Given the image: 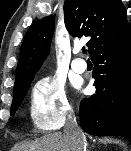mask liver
Here are the masks:
<instances>
[{
  "mask_svg": "<svg viewBox=\"0 0 131 151\" xmlns=\"http://www.w3.org/2000/svg\"><path fill=\"white\" fill-rule=\"evenodd\" d=\"M71 141L61 133L44 136L34 142L16 145L12 151H75Z\"/></svg>",
  "mask_w": 131,
  "mask_h": 151,
  "instance_id": "1",
  "label": "liver"
}]
</instances>
